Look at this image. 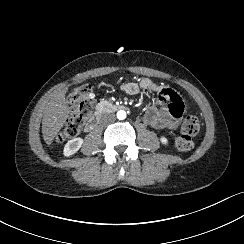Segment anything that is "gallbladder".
Here are the masks:
<instances>
[{"mask_svg": "<svg viewBox=\"0 0 244 244\" xmlns=\"http://www.w3.org/2000/svg\"><path fill=\"white\" fill-rule=\"evenodd\" d=\"M77 93H79L78 89H76Z\"/></svg>", "mask_w": 244, "mask_h": 244, "instance_id": "gallbladder-1", "label": "gallbladder"}]
</instances>
